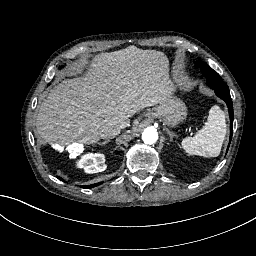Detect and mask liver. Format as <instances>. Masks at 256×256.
<instances>
[{"mask_svg": "<svg viewBox=\"0 0 256 256\" xmlns=\"http://www.w3.org/2000/svg\"><path fill=\"white\" fill-rule=\"evenodd\" d=\"M167 66L161 51L136 46L101 54L92 74L64 81L42 103L40 137L52 144L92 145L109 130L126 128L132 115L172 96Z\"/></svg>", "mask_w": 256, "mask_h": 256, "instance_id": "obj_1", "label": "liver"}]
</instances>
